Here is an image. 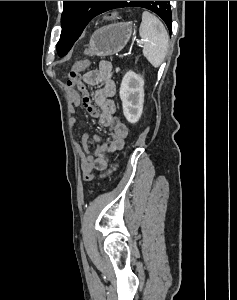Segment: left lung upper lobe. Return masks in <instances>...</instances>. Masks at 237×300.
I'll list each match as a JSON object with an SVG mask.
<instances>
[{
  "label": "left lung upper lobe",
  "instance_id": "1",
  "mask_svg": "<svg viewBox=\"0 0 237 300\" xmlns=\"http://www.w3.org/2000/svg\"><path fill=\"white\" fill-rule=\"evenodd\" d=\"M111 1H63L61 16L62 32L57 43V52L63 57L72 48L82 34L87 24L96 16L105 12ZM142 7L156 13L167 25L172 28L171 6L160 8V1H121L120 8Z\"/></svg>",
  "mask_w": 237,
  "mask_h": 300
}]
</instances>
